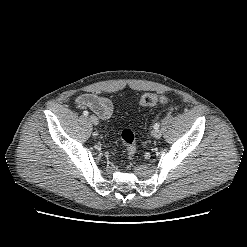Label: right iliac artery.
Returning a JSON list of instances; mask_svg holds the SVG:
<instances>
[{"label": "right iliac artery", "instance_id": "obj_1", "mask_svg": "<svg viewBox=\"0 0 247 247\" xmlns=\"http://www.w3.org/2000/svg\"><path fill=\"white\" fill-rule=\"evenodd\" d=\"M88 114H89L88 111H84V112H83V115H84V116H88Z\"/></svg>", "mask_w": 247, "mask_h": 247}]
</instances>
